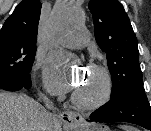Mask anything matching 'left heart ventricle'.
Here are the masks:
<instances>
[{
    "mask_svg": "<svg viewBox=\"0 0 151 131\" xmlns=\"http://www.w3.org/2000/svg\"><path fill=\"white\" fill-rule=\"evenodd\" d=\"M102 80L100 76L88 70L79 80L77 83L74 94L79 95L83 98H92L94 97L101 89Z\"/></svg>",
    "mask_w": 151,
    "mask_h": 131,
    "instance_id": "obj_1",
    "label": "left heart ventricle"
}]
</instances>
